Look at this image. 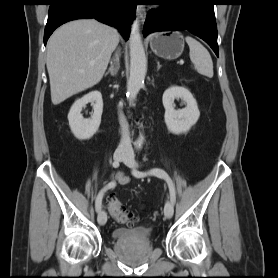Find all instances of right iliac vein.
<instances>
[{
	"instance_id": "obj_1",
	"label": "right iliac vein",
	"mask_w": 278,
	"mask_h": 278,
	"mask_svg": "<svg viewBox=\"0 0 278 278\" xmlns=\"http://www.w3.org/2000/svg\"><path fill=\"white\" fill-rule=\"evenodd\" d=\"M126 157H127V154L124 151H116L114 153L115 161H118V162L123 161L126 159ZM97 220L100 225H104L107 222V214L104 210L99 211Z\"/></svg>"
}]
</instances>
